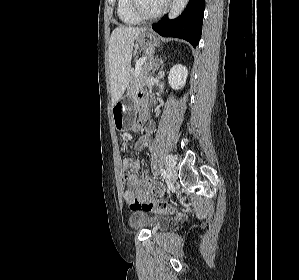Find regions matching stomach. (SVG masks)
Masks as SVG:
<instances>
[{
  "label": "stomach",
  "mask_w": 299,
  "mask_h": 280,
  "mask_svg": "<svg viewBox=\"0 0 299 280\" xmlns=\"http://www.w3.org/2000/svg\"><path fill=\"white\" fill-rule=\"evenodd\" d=\"M137 43L143 48H154L159 45V39L149 31H145L137 38ZM114 125L119 130L129 129L133 125V99L122 97L112 109Z\"/></svg>",
  "instance_id": "stomach-1"
}]
</instances>
